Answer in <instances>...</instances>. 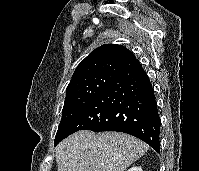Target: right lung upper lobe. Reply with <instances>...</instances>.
<instances>
[{"label": "right lung upper lobe", "mask_w": 199, "mask_h": 171, "mask_svg": "<svg viewBox=\"0 0 199 171\" xmlns=\"http://www.w3.org/2000/svg\"><path fill=\"white\" fill-rule=\"evenodd\" d=\"M139 61L124 46L106 44L91 52L77 66L66 90L100 74L116 76L120 72L137 65Z\"/></svg>", "instance_id": "cb5924a9"}]
</instances>
